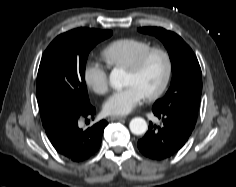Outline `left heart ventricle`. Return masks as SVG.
<instances>
[{
    "instance_id": "b2bd125f",
    "label": "left heart ventricle",
    "mask_w": 236,
    "mask_h": 187,
    "mask_svg": "<svg viewBox=\"0 0 236 187\" xmlns=\"http://www.w3.org/2000/svg\"><path fill=\"white\" fill-rule=\"evenodd\" d=\"M165 74V61L160 55H153L148 59L138 74L127 71L126 86L135 85L146 95L156 90Z\"/></svg>"
}]
</instances>
